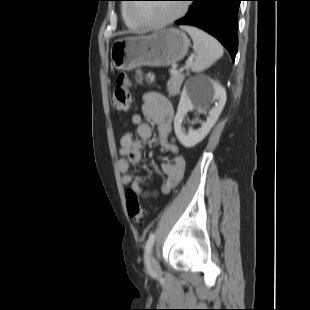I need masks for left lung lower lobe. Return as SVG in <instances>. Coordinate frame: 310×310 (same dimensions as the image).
Instances as JSON below:
<instances>
[{
  "mask_svg": "<svg viewBox=\"0 0 310 310\" xmlns=\"http://www.w3.org/2000/svg\"><path fill=\"white\" fill-rule=\"evenodd\" d=\"M193 1L188 14L177 25L196 26L217 38L234 61L238 48V8L242 0Z\"/></svg>",
  "mask_w": 310,
  "mask_h": 310,
  "instance_id": "obj_1",
  "label": "left lung lower lobe"
}]
</instances>
